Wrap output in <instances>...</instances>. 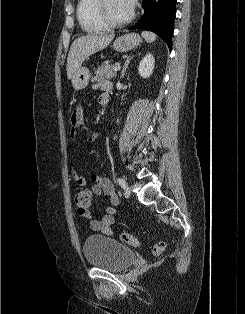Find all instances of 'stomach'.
Wrapping results in <instances>:
<instances>
[{"instance_id": "1", "label": "stomach", "mask_w": 245, "mask_h": 314, "mask_svg": "<svg viewBox=\"0 0 245 314\" xmlns=\"http://www.w3.org/2000/svg\"><path fill=\"white\" fill-rule=\"evenodd\" d=\"M141 37L136 33H128L118 37L113 44L117 52H127L141 43ZM90 71L86 67H80L72 78V86L76 91L87 87L90 79Z\"/></svg>"}]
</instances>
